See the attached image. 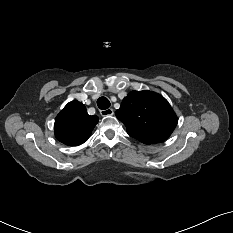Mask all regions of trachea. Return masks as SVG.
<instances>
[{"mask_svg": "<svg viewBox=\"0 0 233 233\" xmlns=\"http://www.w3.org/2000/svg\"><path fill=\"white\" fill-rule=\"evenodd\" d=\"M97 105L102 110L108 109L110 107V101L106 97L102 96L97 100Z\"/></svg>", "mask_w": 233, "mask_h": 233, "instance_id": "obj_1", "label": "trachea"}]
</instances>
